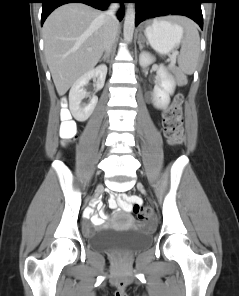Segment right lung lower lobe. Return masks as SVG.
Listing matches in <instances>:
<instances>
[{"label":"right lung lower lobe","instance_id":"98d812e1","mask_svg":"<svg viewBox=\"0 0 239 296\" xmlns=\"http://www.w3.org/2000/svg\"><path fill=\"white\" fill-rule=\"evenodd\" d=\"M42 3L41 25H43L48 15L57 7L66 3H85L100 10H105L109 3H121L122 7L117 16L122 20L124 15V1L123 0H40Z\"/></svg>","mask_w":239,"mask_h":296}]
</instances>
